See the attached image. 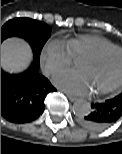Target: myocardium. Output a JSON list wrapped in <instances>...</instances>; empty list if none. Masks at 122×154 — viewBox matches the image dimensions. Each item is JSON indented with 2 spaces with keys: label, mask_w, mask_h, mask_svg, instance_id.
<instances>
[{
  "label": "myocardium",
  "mask_w": 122,
  "mask_h": 154,
  "mask_svg": "<svg viewBox=\"0 0 122 154\" xmlns=\"http://www.w3.org/2000/svg\"><path fill=\"white\" fill-rule=\"evenodd\" d=\"M111 52L122 53V47H118V46L107 47V48L101 49L99 51H96L94 53H90L88 55H85L84 58L89 59V60H100ZM121 86H122V74L117 79V81H115L112 85H110V86H108V87H106V88H104L100 91H95V94L99 95V96L105 95V94H108L110 92L117 90Z\"/></svg>",
  "instance_id": "obj_1"
}]
</instances>
